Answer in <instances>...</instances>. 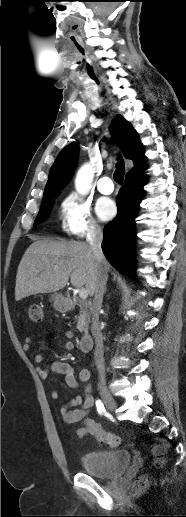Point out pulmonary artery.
Instances as JSON below:
<instances>
[{"instance_id":"1","label":"pulmonary artery","mask_w":186,"mask_h":517,"mask_svg":"<svg viewBox=\"0 0 186 517\" xmlns=\"http://www.w3.org/2000/svg\"><path fill=\"white\" fill-rule=\"evenodd\" d=\"M97 188L100 193L109 195L113 192L114 186L112 180L109 176L105 175L101 177L98 181Z\"/></svg>"}]
</instances>
